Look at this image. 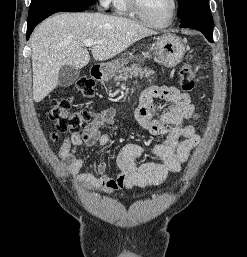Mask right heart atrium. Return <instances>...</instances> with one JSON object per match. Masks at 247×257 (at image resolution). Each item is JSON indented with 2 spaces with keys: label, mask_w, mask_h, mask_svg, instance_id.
<instances>
[{
  "label": "right heart atrium",
  "mask_w": 247,
  "mask_h": 257,
  "mask_svg": "<svg viewBox=\"0 0 247 257\" xmlns=\"http://www.w3.org/2000/svg\"><path fill=\"white\" fill-rule=\"evenodd\" d=\"M113 0H98L99 6L103 10L109 9Z\"/></svg>",
  "instance_id": "obj_1"
}]
</instances>
